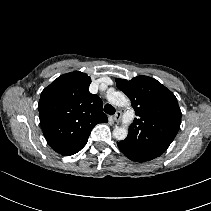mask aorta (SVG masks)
<instances>
[{"label":"aorta","instance_id":"aorta-1","mask_svg":"<svg viewBox=\"0 0 211 211\" xmlns=\"http://www.w3.org/2000/svg\"><path fill=\"white\" fill-rule=\"evenodd\" d=\"M107 100L115 106L125 107L129 106V99L123 92L120 91H112L107 94ZM135 117V113L132 109H129L124 117H123V125L120 127H116L113 130V136L117 140H124L128 135V126L133 121Z\"/></svg>","mask_w":211,"mask_h":211}]
</instances>
